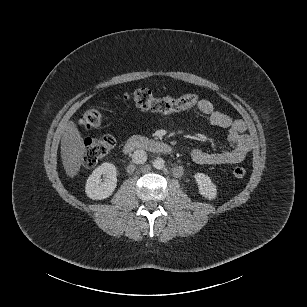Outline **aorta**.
<instances>
[{
  "label": "aorta",
  "mask_w": 307,
  "mask_h": 307,
  "mask_svg": "<svg viewBox=\"0 0 307 307\" xmlns=\"http://www.w3.org/2000/svg\"><path fill=\"white\" fill-rule=\"evenodd\" d=\"M164 166H165V161L162 158H157L153 161V167L155 169L161 170L164 168Z\"/></svg>",
  "instance_id": "762f6f07"
}]
</instances>
